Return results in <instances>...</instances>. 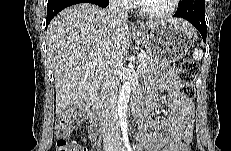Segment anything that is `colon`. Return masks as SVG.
I'll use <instances>...</instances> for the list:
<instances>
[{"label": "colon", "mask_w": 231, "mask_h": 151, "mask_svg": "<svg viewBox=\"0 0 231 151\" xmlns=\"http://www.w3.org/2000/svg\"><path fill=\"white\" fill-rule=\"evenodd\" d=\"M198 73L197 63L191 59H184L180 63L179 77L180 86L179 94L188 98L193 99L195 95V78ZM76 118V112L72 109L62 111L58 114L56 120V148L57 151H85L84 148L79 146L76 142L69 138L72 123ZM181 151H189V144L185 143L181 147Z\"/></svg>", "instance_id": "obj_1"}]
</instances>
